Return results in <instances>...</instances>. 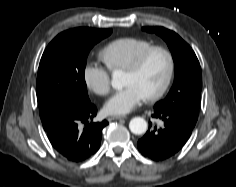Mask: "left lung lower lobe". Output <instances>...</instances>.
I'll list each match as a JSON object with an SVG mask.
<instances>
[{
	"label": "left lung lower lobe",
	"instance_id": "obj_1",
	"mask_svg": "<svg viewBox=\"0 0 236 187\" xmlns=\"http://www.w3.org/2000/svg\"><path fill=\"white\" fill-rule=\"evenodd\" d=\"M152 117L164 121V127L148 130L138 141V149L145 156L155 161L165 160L177 153L189 139L197 122L188 114L156 108ZM152 123H149L151 128Z\"/></svg>",
	"mask_w": 236,
	"mask_h": 187
}]
</instances>
